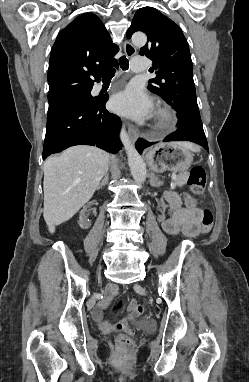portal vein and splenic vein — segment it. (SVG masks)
I'll return each instance as SVG.
<instances>
[{
  "label": "portal vein and splenic vein",
  "mask_w": 249,
  "mask_h": 382,
  "mask_svg": "<svg viewBox=\"0 0 249 382\" xmlns=\"http://www.w3.org/2000/svg\"><path fill=\"white\" fill-rule=\"evenodd\" d=\"M171 178L172 180H175L177 178L176 174H172Z\"/></svg>",
  "instance_id": "portal-vein-and-splenic-vein-1"
}]
</instances>
